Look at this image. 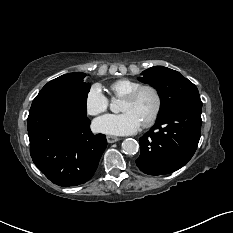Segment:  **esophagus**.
<instances>
[{
  "instance_id": "obj_1",
  "label": "esophagus",
  "mask_w": 233,
  "mask_h": 233,
  "mask_svg": "<svg viewBox=\"0 0 233 233\" xmlns=\"http://www.w3.org/2000/svg\"><path fill=\"white\" fill-rule=\"evenodd\" d=\"M118 140H119L118 137L110 136V135L107 136L108 143H114V142H117Z\"/></svg>"
}]
</instances>
